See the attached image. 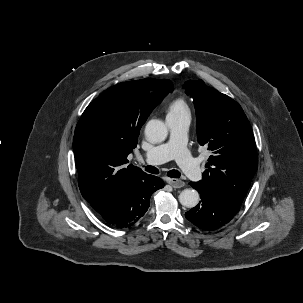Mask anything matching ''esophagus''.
<instances>
[{"instance_id": "34e87169", "label": "esophagus", "mask_w": 303, "mask_h": 303, "mask_svg": "<svg viewBox=\"0 0 303 303\" xmlns=\"http://www.w3.org/2000/svg\"><path fill=\"white\" fill-rule=\"evenodd\" d=\"M167 182H168V184H170L175 189L182 188V187L185 186L184 181H182L180 179H171V178H168Z\"/></svg>"}]
</instances>
